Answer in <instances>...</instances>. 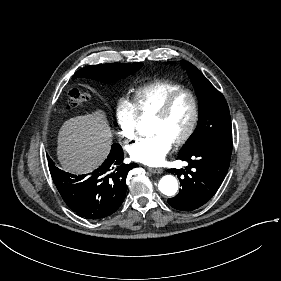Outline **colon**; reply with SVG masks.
I'll return each mask as SVG.
<instances>
[{
	"label": "colon",
	"mask_w": 281,
	"mask_h": 281,
	"mask_svg": "<svg viewBox=\"0 0 281 281\" xmlns=\"http://www.w3.org/2000/svg\"><path fill=\"white\" fill-rule=\"evenodd\" d=\"M90 96L80 90L72 89L69 93L67 107L69 109H76L84 106L89 101Z\"/></svg>",
	"instance_id": "obj_1"
}]
</instances>
